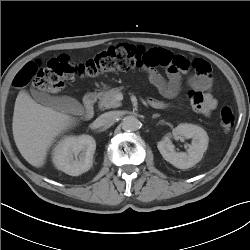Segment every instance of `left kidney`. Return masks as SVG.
<instances>
[{"mask_svg": "<svg viewBox=\"0 0 250 250\" xmlns=\"http://www.w3.org/2000/svg\"><path fill=\"white\" fill-rule=\"evenodd\" d=\"M176 140L182 138H192V144L186 152H176L175 146L170 140L171 134H168L159 141L157 148L163 158L179 169H188L201 161L204 152L207 150L209 138L206 131L197 125L179 124L172 131Z\"/></svg>", "mask_w": 250, "mask_h": 250, "instance_id": "left-kidney-1", "label": "left kidney"}]
</instances>
